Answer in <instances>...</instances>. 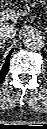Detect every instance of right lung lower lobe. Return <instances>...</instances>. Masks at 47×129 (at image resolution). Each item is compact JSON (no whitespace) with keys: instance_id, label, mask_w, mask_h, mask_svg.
Returning <instances> with one entry per match:
<instances>
[{"instance_id":"right-lung-lower-lobe-1","label":"right lung lower lobe","mask_w":47,"mask_h":129,"mask_svg":"<svg viewBox=\"0 0 47 129\" xmlns=\"http://www.w3.org/2000/svg\"><path fill=\"white\" fill-rule=\"evenodd\" d=\"M13 49L10 51L9 55L7 56L5 63L2 67V69L0 70V83L4 80L7 72H8V68H9V58L12 54Z\"/></svg>"}]
</instances>
